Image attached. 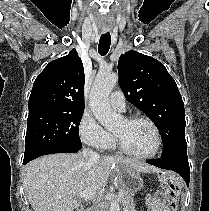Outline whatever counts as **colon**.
Instances as JSON below:
<instances>
[{"mask_svg": "<svg viewBox=\"0 0 209 211\" xmlns=\"http://www.w3.org/2000/svg\"><path fill=\"white\" fill-rule=\"evenodd\" d=\"M165 188L167 190L168 197H169L168 205H169L170 211H176L177 206H178L179 192H180L179 184L176 182L175 179L168 178L165 182Z\"/></svg>", "mask_w": 209, "mask_h": 211, "instance_id": "obj_1", "label": "colon"}]
</instances>
